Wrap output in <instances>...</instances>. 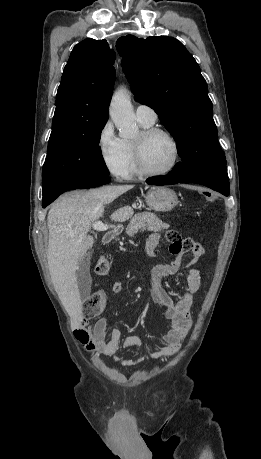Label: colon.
Listing matches in <instances>:
<instances>
[{
    "label": "colon",
    "mask_w": 261,
    "mask_h": 459,
    "mask_svg": "<svg viewBox=\"0 0 261 459\" xmlns=\"http://www.w3.org/2000/svg\"><path fill=\"white\" fill-rule=\"evenodd\" d=\"M198 197H206L208 200L212 201L215 197L216 191L215 188H198L197 191ZM172 231L167 233L168 237H172ZM96 274L98 275H107L111 272V263L106 257H100L94 268ZM106 297L103 293L96 292L93 293L85 303V316L87 318L95 317L105 306Z\"/></svg>",
    "instance_id": "colon-1"
}]
</instances>
